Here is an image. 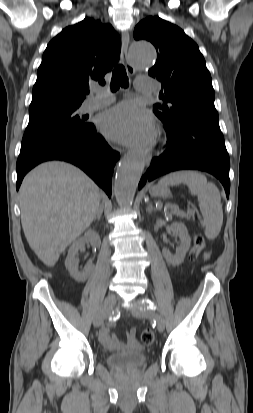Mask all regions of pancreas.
Returning <instances> with one entry per match:
<instances>
[{
    "instance_id": "1",
    "label": "pancreas",
    "mask_w": 253,
    "mask_h": 413,
    "mask_svg": "<svg viewBox=\"0 0 253 413\" xmlns=\"http://www.w3.org/2000/svg\"><path fill=\"white\" fill-rule=\"evenodd\" d=\"M171 213H172V214H175V215L185 216L184 214H182L181 211H179V210H178V211H175V209H173Z\"/></svg>"
}]
</instances>
